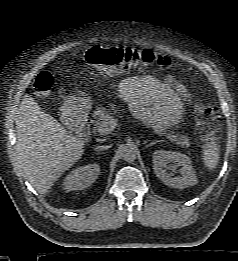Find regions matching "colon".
Listing matches in <instances>:
<instances>
[{
	"instance_id": "colon-1",
	"label": "colon",
	"mask_w": 238,
	"mask_h": 261,
	"mask_svg": "<svg viewBox=\"0 0 238 261\" xmlns=\"http://www.w3.org/2000/svg\"><path fill=\"white\" fill-rule=\"evenodd\" d=\"M85 60L102 73H122L131 70H143L152 67L170 66L169 58L149 50H135L117 46H94L85 55ZM53 84L49 72H41L35 79L36 94L46 95ZM195 120L199 133L206 139L212 138L221 125L217 109L208 103L201 102L195 108Z\"/></svg>"
}]
</instances>
